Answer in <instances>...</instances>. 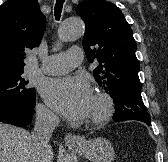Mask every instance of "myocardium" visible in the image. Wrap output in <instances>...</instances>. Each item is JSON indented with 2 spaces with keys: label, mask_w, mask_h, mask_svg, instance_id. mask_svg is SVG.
Masks as SVG:
<instances>
[{
  "label": "myocardium",
  "mask_w": 168,
  "mask_h": 162,
  "mask_svg": "<svg viewBox=\"0 0 168 162\" xmlns=\"http://www.w3.org/2000/svg\"><path fill=\"white\" fill-rule=\"evenodd\" d=\"M94 99L99 103L100 110L88 119L87 124L96 127L103 125L111 118L114 111V102L112 98L104 92L96 93Z\"/></svg>",
  "instance_id": "f54148a6"
}]
</instances>
